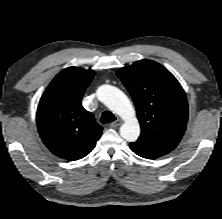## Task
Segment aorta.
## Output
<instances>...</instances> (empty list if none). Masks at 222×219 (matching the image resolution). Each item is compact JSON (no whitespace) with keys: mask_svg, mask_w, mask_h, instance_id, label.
Here are the masks:
<instances>
[{"mask_svg":"<svg viewBox=\"0 0 222 219\" xmlns=\"http://www.w3.org/2000/svg\"><path fill=\"white\" fill-rule=\"evenodd\" d=\"M98 98L125 122L120 127V135L126 141L135 142L140 135V125L135 110L128 97L117 87L102 85L97 90Z\"/></svg>","mask_w":222,"mask_h":219,"instance_id":"aorta-1","label":"aorta"}]
</instances>
